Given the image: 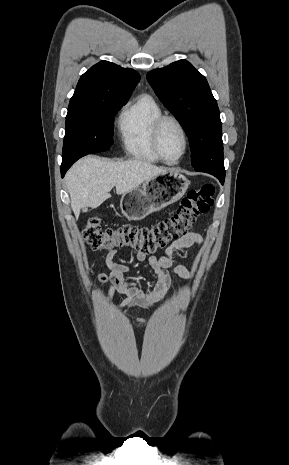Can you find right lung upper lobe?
Returning a JSON list of instances; mask_svg holds the SVG:
<instances>
[{
    "label": "right lung upper lobe",
    "mask_w": 289,
    "mask_h": 465,
    "mask_svg": "<svg viewBox=\"0 0 289 465\" xmlns=\"http://www.w3.org/2000/svg\"><path fill=\"white\" fill-rule=\"evenodd\" d=\"M140 75L108 61L84 73L70 99L67 117L88 115L92 109L116 100H127Z\"/></svg>",
    "instance_id": "right-lung-upper-lobe-1"
}]
</instances>
